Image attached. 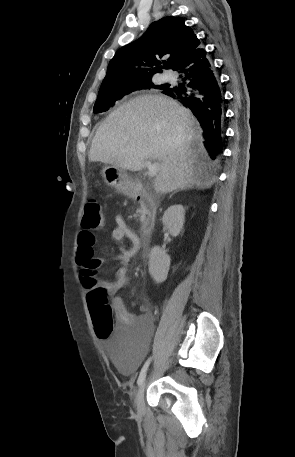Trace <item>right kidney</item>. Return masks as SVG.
I'll return each mask as SVG.
<instances>
[{"instance_id":"1","label":"right kidney","mask_w":295,"mask_h":457,"mask_svg":"<svg viewBox=\"0 0 295 457\" xmlns=\"http://www.w3.org/2000/svg\"><path fill=\"white\" fill-rule=\"evenodd\" d=\"M185 209L182 205L170 206L164 213L162 222L172 236H178L183 229ZM170 257L160 247L152 248L149 256V273L156 283L167 279Z\"/></svg>"}]
</instances>
